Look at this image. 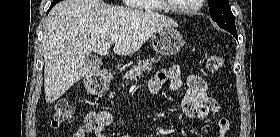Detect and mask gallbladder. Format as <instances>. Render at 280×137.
Returning a JSON list of instances; mask_svg holds the SVG:
<instances>
[{"label":"gallbladder","instance_id":"1","mask_svg":"<svg viewBox=\"0 0 280 137\" xmlns=\"http://www.w3.org/2000/svg\"><path fill=\"white\" fill-rule=\"evenodd\" d=\"M84 65L90 70V71H99L102 66V60L97 56H88L84 60Z\"/></svg>","mask_w":280,"mask_h":137}]
</instances>
